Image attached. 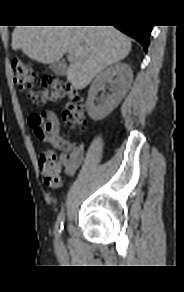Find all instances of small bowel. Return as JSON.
Wrapping results in <instances>:
<instances>
[{"label":"small bowel","instance_id":"1","mask_svg":"<svg viewBox=\"0 0 184 292\" xmlns=\"http://www.w3.org/2000/svg\"><path fill=\"white\" fill-rule=\"evenodd\" d=\"M56 141L58 143L64 142L69 146V143L64 141L57 133ZM84 159L83 146H74L71 148L69 154H62L60 156V164L64 167V171L68 175H72L80 167Z\"/></svg>","mask_w":184,"mask_h":292}]
</instances>
